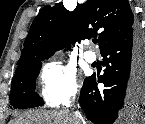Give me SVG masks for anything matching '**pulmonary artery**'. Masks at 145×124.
I'll return each mask as SVG.
<instances>
[{
    "label": "pulmonary artery",
    "instance_id": "pulmonary-artery-1",
    "mask_svg": "<svg viewBox=\"0 0 145 124\" xmlns=\"http://www.w3.org/2000/svg\"><path fill=\"white\" fill-rule=\"evenodd\" d=\"M84 59L89 62L92 63L96 60V54L93 51H86L84 53Z\"/></svg>",
    "mask_w": 145,
    "mask_h": 124
}]
</instances>
